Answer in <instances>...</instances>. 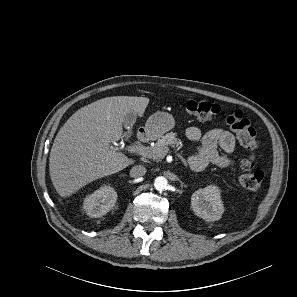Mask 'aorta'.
<instances>
[{"instance_id": "obj_1", "label": "aorta", "mask_w": 297, "mask_h": 297, "mask_svg": "<svg viewBox=\"0 0 297 297\" xmlns=\"http://www.w3.org/2000/svg\"><path fill=\"white\" fill-rule=\"evenodd\" d=\"M154 187L159 191L166 190L168 187L167 179L162 176L157 177L154 182Z\"/></svg>"}]
</instances>
